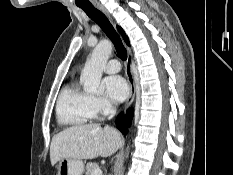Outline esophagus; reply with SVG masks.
I'll use <instances>...</instances> for the list:
<instances>
[{"mask_svg":"<svg viewBox=\"0 0 233 175\" xmlns=\"http://www.w3.org/2000/svg\"><path fill=\"white\" fill-rule=\"evenodd\" d=\"M96 5L106 16L110 18L109 13L106 11V9L101 4L96 3ZM125 70H126V77H127L129 87H130L129 97L125 104V109H127L134 101V98L136 95V86H135L134 76H133V71H132V53L129 48H127V60H126Z\"/></svg>","mask_w":233,"mask_h":175,"instance_id":"34e87169","label":"esophagus"}]
</instances>
